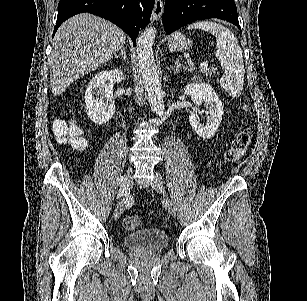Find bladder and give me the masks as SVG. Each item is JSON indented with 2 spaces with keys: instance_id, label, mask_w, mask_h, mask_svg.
Returning <instances> with one entry per match:
<instances>
[{
  "instance_id": "obj_1",
  "label": "bladder",
  "mask_w": 307,
  "mask_h": 301,
  "mask_svg": "<svg viewBox=\"0 0 307 301\" xmlns=\"http://www.w3.org/2000/svg\"><path fill=\"white\" fill-rule=\"evenodd\" d=\"M123 244L137 250L160 251L168 246L169 237L159 228H146L123 237Z\"/></svg>"
}]
</instances>
